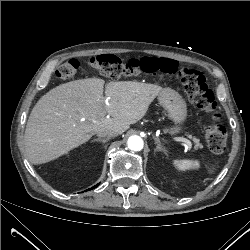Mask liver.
I'll return each instance as SVG.
<instances>
[{
  "label": "liver",
  "mask_w": 250,
  "mask_h": 250,
  "mask_svg": "<svg viewBox=\"0 0 250 250\" xmlns=\"http://www.w3.org/2000/svg\"><path fill=\"white\" fill-rule=\"evenodd\" d=\"M104 83L99 78L75 80L39 99L24 136L31 163L38 165L67 154L101 129L122 134L145 116L162 91L158 85L136 81H112L104 90Z\"/></svg>",
  "instance_id": "1"
}]
</instances>
